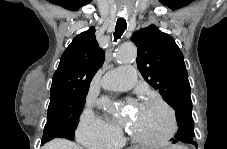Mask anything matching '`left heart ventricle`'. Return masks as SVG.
Listing matches in <instances>:
<instances>
[{
    "label": "left heart ventricle",
    "instance_id": "b2bd125f",
    "mask_svg": "<svg viewBox=\"0 0 227 149\" xmlns=\"http://www.w3.org/2000/svg\"><path fill=\"white\" fill-rule=\"evenodd\" d=\"M130 129L144 138H159L164 136L170 128L168 112L160 105L144 102L132 117L128 116Z\"/></svg>",
    "mask_w": 227,
    "mask_h": 149
}]
</instances>
